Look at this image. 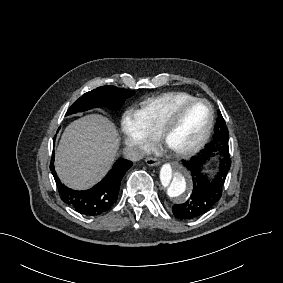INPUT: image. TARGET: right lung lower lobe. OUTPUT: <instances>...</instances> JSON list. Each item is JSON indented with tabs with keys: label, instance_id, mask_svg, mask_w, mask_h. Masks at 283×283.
Wrapping results in <instances>:
<instances>
[{
	"label": "right lung lower lobe",
	"instance_id": "obj_1",
	"mask_svg": "<svg viewBox=\"0 0 283 283\" xmlns=\"http://www.w3.org/2000/svg\"><path fill=\"white\" fill-rule=\"evenodd\" d=\"M131 166V161L117 160L101 182L85 191L69 189L60 182L55 174L54 165L51 164L50 170H52L62 200L81 214L95 216L107 211L117 200L121 179Z\"/></svg>",
	"mask_w": 283,
	"mask_h": 283
}]
</instances>
